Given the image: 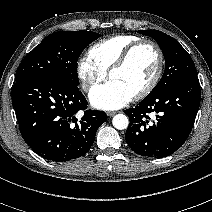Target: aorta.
<instances>
[{"mask_svg": "<svg viewBox=\"0 0 212 212\" xmlns=\"http://www.w3.org/2000/svg\"><path fill=\"white\" fill-rule=\"evenodd\" d=\"M113 126L118 130H124L129 125V119L124 114H117L112 119Z\"/></svg>", "mask_w": 212, "mask_h": 212, "instance_id": "obj_1", "label": "aorta"}]
</instances>
